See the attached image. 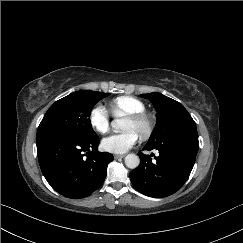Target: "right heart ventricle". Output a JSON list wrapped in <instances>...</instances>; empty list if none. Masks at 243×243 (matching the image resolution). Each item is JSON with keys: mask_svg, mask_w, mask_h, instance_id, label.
Here are the masks:
<instances>
[{"mask_svg": "<svg viewBox=\"0 0 243 243\" xmlns=\"http://www.w3.org/2000/svg\"><path fill=\"white\" fill-rule=\"evenodd\" d=\"M108 108L115 116H127L145 111L144 103L132 96H119L108 103Z\"/></svg>", "mask_w": 243, "mask_h": 243, "instance_id": "e07e8e85", "label": "right heart ventricle"}]
</instances>
